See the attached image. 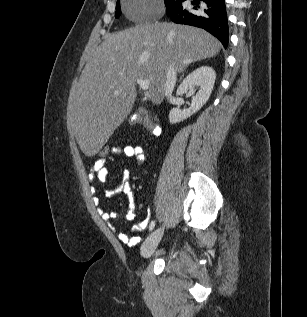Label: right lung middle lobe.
Here are the masks:
<instances>
[{
	"mask_svg": "<svg viewBox=\"0 0 307 317\" xmlns=\"http://www.w3.org/2000/svg\"><path fill=\"white\" fill-rule=\"evenodd\" d=\"M173 2V0H165V5L166 7H168L171 3ZM121 14V11H120V2L119 0L117 1V4H116V13H115V17H119Z\"/></svg>",
	"mask_w": 307,
	"mask_h": 317,
	"instance_id": "right-lung-middle-lobe-1",
	"label": "right lung middle lobe"
}]
</instances>
